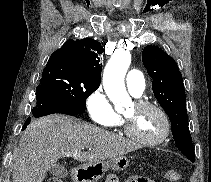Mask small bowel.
<instances>
[{
    "label": "small bowel",
    "mask_w": 211,
    "mask_h": 182,
    "mask_svg": "<svg viewBox=\"0 0 211 182\" xmlns=\"http://www.w3.org/2000/svg\"><path fill=\"white\" fill-rule=\"evenodd\" d=\"M110 176L112 179L107 182H119V179L115 175H110ZM126 182H154V181L145 177L136 176L128 179Z\"/></svg>",
    "instance_id": "small-bowel-1"
}]
</instances>
